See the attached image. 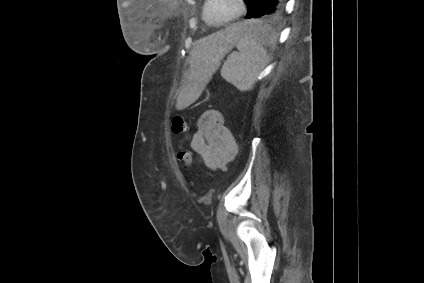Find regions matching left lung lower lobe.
Returning a JSON list of instances; mask_svg holds the SVG:
<instances>
[{"mask_svg": "<svg viewBox=\"0 0 424 283\" xmlns=\"http://www.w3.org/2000/svg\"><path fill=\"white\" fill-rule=\"evenodd\" d=\"M286 0H259L255 13L250 18H260L271 15L284 7Z\"/></svg>", "mask_w": 424, "mask_h": 283, "instance_id": "obj_1", "label": "left lung lower lobe"}]
</instances>
